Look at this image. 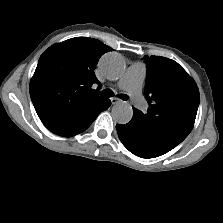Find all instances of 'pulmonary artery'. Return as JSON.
Wrapping results in <instances>:
<instances>
[{
  "label": "pulmonary artery",
  "mask_w": 223,
  "mask_h": 223,
  "mask_svg": "<svg viewBox=\"0 0 223 223\" xmlns=\"http://www.w3.org/2000/svg\"><path fill=\"white\" fill-rule=\"evenodd\" d=\"M146 70L142 63L132 64L118 82V88L126 91L131 98L133 105L138 109L145 107V101L142 97V85Z\"/></svg>",
  "instance_id": "pulmonary-artery-1"
}]
</instances>
